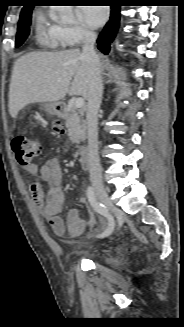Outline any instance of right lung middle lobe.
<instances>
[{"label": "right lung middle lobe", "mask_w": 184, "mask_h": 327, "mask_svg": "<svg viewBox=\"0 0 184 327\" xmlns=\"http://www.w3.org/2000/svg\"><path fill=\"white\" fill-rule=\"evenodd\" d=\"M32 9L22 12L20 15L17 37L15 47H19L28 37L30 33V23H31Z\"/></svg>", "instance_id": "right-lung-middle-lobe-1"}]
</instances>
